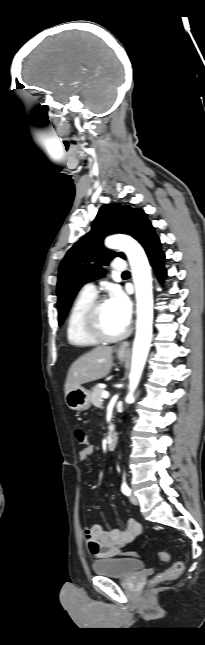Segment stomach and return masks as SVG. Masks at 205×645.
<instances>
[{
	"label": "stomach",
	"instance_id": "0dacf381",
	"mask_svg": "<svg viewBox=\"0 0 205 645\" xmlns=\"http://www.w3.org/2000/svg\"><path fill=\"white\" fill-rule=\"evenodd\" d=\"M117 357L119 360H125L126 355L118 352ZM65 403L72 410L85 411L91 406L92 394L89 390L80 386L78 388L71 389L67 394H65Z\"/></svg>",
	"mask_w": 205,
	"mask_h": 645
}]
</instances>
